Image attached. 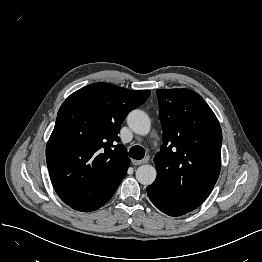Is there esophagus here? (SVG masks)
<instances>
[{"instance_id": "34e87169", "label": "esophagus", "mask_w": 262, "mask_h": 262, "mask_svg": "<svg viewBox=\"0 0 262 262\" xmlns=\"http://www.w3.org/2000/svg\"><path fill=\"white\" fill-rule=\"evenodd\" d=\"M146 162H147L146 160H132L133 165H141V164H144Z\"/></svg>"}]
</instances>
